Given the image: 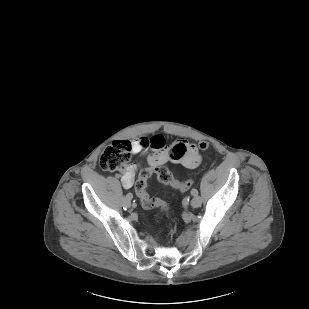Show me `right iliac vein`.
Masks as SVG:
<instances>
[{
  "mask_svg": "<svg viewBox=\"0 0 309 309\" xmlns=\"http://www.w3.org/2000/svg\"><path fill=\"white\" fill-rule=\"evenodd\" d=\"M131 200H132V198L128 200V199H126V197H125V198H124V205H126V206H131V205H132Z\"/></svg>",
  "mask_w": 309,
  "mask_h": 309,
  "instance_id": "right-iliac-vein-1",
  "label": "right iliac vein"
}]
</instances>
